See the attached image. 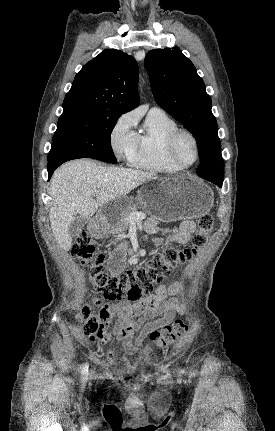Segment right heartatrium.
<instances>
[{
  "instance_id": "1",
  "label": "right heart atrium",
  "mask_w": 275,
  "mask_h": 431,
  "mask_svg": "<svg viewBox=\"0 0 275 431\" xmlns=\"http://www.w3.org/2000/svg\"><path fill=\"white\" fill-rule=\"evenodd\" d=\"M135 117L130 113L122 114L115 122L110 143L115 156L132 163L137 150V133L134 131Z\"/></svg>"
}]
</instances>
